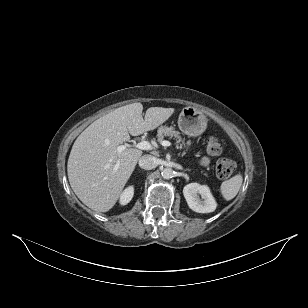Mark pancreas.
<instances>
[{
    "mask_svg": "<svg viewBox=\"0 0 308 308\" xmlns=\"http://www.w3.org/2000/svg\"><path fill=\"white\" fill-rule=\"evenodd\" d=\"M158 141L162 142L164 137L168 136L170 138L174 137L176 139V148L182 149L189 145V143H185V140L181 138L180 133L176 131L172 126H160L157 131ZM186 152L184 151L182 155H185Z\"/></svg>",
    "mask_w": 308,
    "mask_h": 308,
    "instance_id": "pancreas-1",
    "label": "pancreas"
}]
</instances>
